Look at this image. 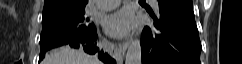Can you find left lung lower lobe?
<instances>
[{
  "instance_id": "1",
  "label": "left lung lower lobe",
  "mask_w": 242,
  "mask_h": 64,
  "mask_svg": "<svg viewBox=\"0 0 242 64\" xmlns=\"http://www.w3.org/2000/svg\"><path fill=\"white\" fill-rule=\"evenodd\" d=\"M159 17L142 32V64H201L192 0H158Z\"/></svg>"
}]
</instances>
